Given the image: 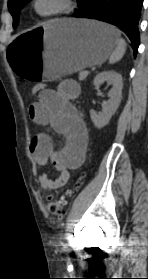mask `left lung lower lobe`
I'll return each instance as SVG.
<instances>
[{
	"instance_id": "left-lung-lower-lobe-1",
	"label": "left lung lower lobe",
	"mask_w": 148,
	"mask_h": 279,
	"mask_svg": "<svg viewBox=\"0 0 148 279\" xmlns=\"http://www.w3.org/2000/svg\"><path fill=\"white\" fill-rule=\"evenodd\" d=\"M72 16L91 18L119 27L132 42L136 56L140 44L138 24L143 0H80Z\"/></svg>"
}]
</instances>
